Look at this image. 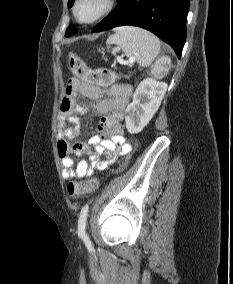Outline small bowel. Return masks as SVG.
<instances>
[{
	"mask_svg": "<svg viewBox=\"0 0 233 284\" xmlns=\"http://www.w3.org/2000/svg\"><path fill=\"white\" fill-rule=\"evenodd\" d=\"M130 95L131 87L125 84H115L104 91L78 78L69 80L59 107L61 122L67 121L71 124L70 127L62 129L57 144L63 166V179L73 180L90 176L94 170L106 169L118 155L130 152L131 146L127 143L121 127ZM80 96L94 101L93 108L101 115L99 133L91 137L88 143L70 144L68 140L79 134V116L87 112V108L78 101ZM103 154L106 155L104 160L100 159ZM83 155L87 156V160H80L75 165V157Z\"/></svg>",
	"mask_w": 233,
	"mask_h": 284,
	"instance_id": "c3829d8e",
	"label": "small bowel"
}]
</instances>
